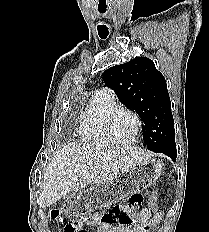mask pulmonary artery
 Segmentation results:
<instances>
[{"label": "pulmonary artery", "instance_id": "1", "mask_svg": "<svg viewBox=\"0 0 209 232\" xmlns=\"http://www.w3.org/2000/svg\"><path fill=\"white\" fill-rule=\"evenodd\" d=\"M108 91H109V93L112 95V96H114V94L112 93V91L111 90H109V89H107Z\"/></svg>", "mask_w": 209, "mask_h": 232}]
</instances>
